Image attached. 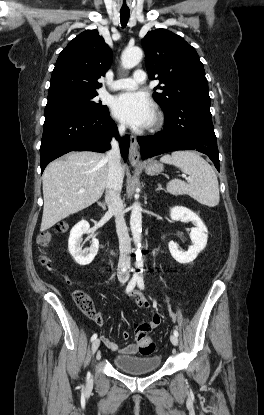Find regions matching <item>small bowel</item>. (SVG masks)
<instances>
[{
    "instance_id": "obj_1",
    "label": "small bowel",
    "mask_w": 264,
    "mask_h": 415,
    "mask_svg": "<svg viewBox=\"0 0 264 415\" xmlns=\"http://www.w3.org/2000/svg\"><path fill=\"white\" fill-rule=\"evenodd\" d=\"M132 296L135 299L136 305L139 308L147 309L150 307V303L146 297H144L140 292L135 291L132 293ZM161 318L160 315L157 312H153L150 319L147 322L142 323L141 325L137 326L139 327L143 332L147 333L152 331L155 327H157L160 324ZM96 323L100 326L105 324V318L103 316H98V319L96 320ZM134 343H131L123 348H120L119 344L115 341L110 340L106 336L101 337V341L103 344L111 351L117 352L120 355H127V356H134L138 352H140L143 355H147V353L143 350V345L137 340ZM122 338L125 340H128L130 338V334L127 331H124L122 333Z\"/></svg>"
}]
</instances>
